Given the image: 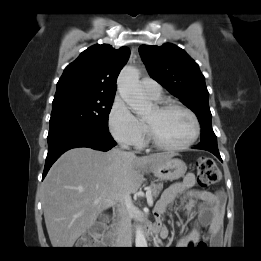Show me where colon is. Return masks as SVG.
<instances>
[{
  "mask_svg": "<svg viewBox=\"0 0 261 261\" xmlns=\"http://www.w3.org/2000/svg\"><path fill=\"white\" fill-rule=\"evenodd\" d=\"M198 181L204 188L212 186L220 181L221 173L215 163L210 157H201L197 164ZM103 228L96 227L91 234H89L80 246L84 249H91L94 247L103 236Z\"/></svg>",
  "mask_w": 261,
  "mask_h": 261,
  "instance_id": "obj_1",
  "label": "colon"
}]
</instances>
